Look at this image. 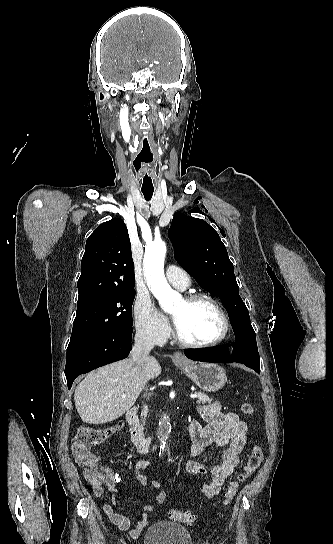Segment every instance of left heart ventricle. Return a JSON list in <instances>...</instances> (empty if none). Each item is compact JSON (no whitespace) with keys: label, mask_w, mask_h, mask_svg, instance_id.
<instances>
[{"label":"left heart ventricle","mask_w":333,"mask_h":544,"mask_svg":"<svg viewBox=\"0 0 333 544\" xmlns=\"http://www.w3.org/2000/svg\"><path fill=\"white\" fill-rule=\"evenodd\" d=\"M171 314L181 335L189 341L208 342L217 338L222 331L221 315L207 301L189 305L182 300Z\"/></svg>","instance_id":"b2bd125f"}]
</instances>
